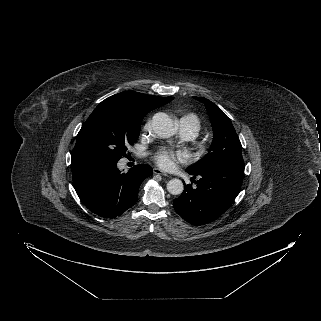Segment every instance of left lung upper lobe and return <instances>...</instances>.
Returning <instances> with one entry per match:
<instances>
[{"label": "left lung upper lobe", "instance_id": "5c2ea615", "mask_svg": "<svg viewBox=\"0 0 321 321\" xmlns=\"http://www.w3.org/2000/svg\"><path fill=\"white\" fill-rule=\"evenodd\" d=\"M194 98L204 103L212 123L214 138L209 153L188 167V173L197 174L224 164H244L242 146L230 119L208 99Z\"/></svg>", "mask_w": 321, "mask_h": 321}]
</instances>
